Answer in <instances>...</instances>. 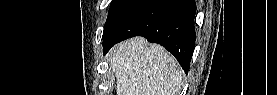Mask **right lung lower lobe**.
Returning a JSON list of instances; mask_svg holds the SVG:
<instances>
[{"label": "right lung lower lobe", "instance_id": "right-lung-lower-lobe-1", "mask_svg": "<svg viewBox=\"0 0 277 95\" xmlns=\"http://www.w3.org/2000/svg\"><path fill=\"white\" fill-rule=\"evenodd\" d=\"M195 13L194 0H145L103 41V53L124 39L141 35L164 46L187 74L196 39Z\"/></svg>", "mask_w": 277, "mask_h": 95}]
</instances>
